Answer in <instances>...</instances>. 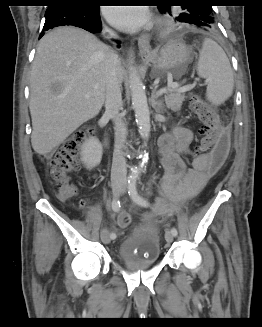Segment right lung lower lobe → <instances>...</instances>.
<instances>
[{
    "label": "right lung lower lobe",
    "mask_w": 262,
    "mask_h": 327,
    "mask_svg": "<svg viewBox=\"0 0 262 327\" xmlns=\"http://www.w3.org/2000/svg\"><path fill=\"white\" fill-rule=\"evenodd\" d=\"M54 3L45 12L43 32L65 25L80 27L91 33L102 30L99 6L81 5L75 0H57Z\"/></svg>",
    "instance_id": "98d812e1"
}]
</instances>
